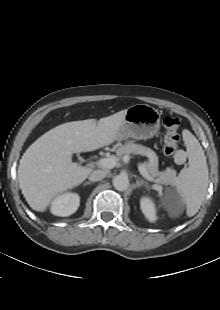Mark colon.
Returning a JSON list of instances; mask_svg holds the SVG:
<instances>
[{
    "label": "colon",
    "instance_id": "1",
    "mask_svg": "<svg viewBox=\"0 0 220 310\" xmlns=\"http://www.w3.org/2000/svg\"><path fill=\"white\" fill-rule=\"evenodd\" d=\"M164 135V153L172 156L177 163H183L186 155L178 147L180 136L179 127L180 120L175 116H166L163 119Z\"/></svg>",
    "mask_w": 220,
    "mask_h": 310
}]
</instances>
